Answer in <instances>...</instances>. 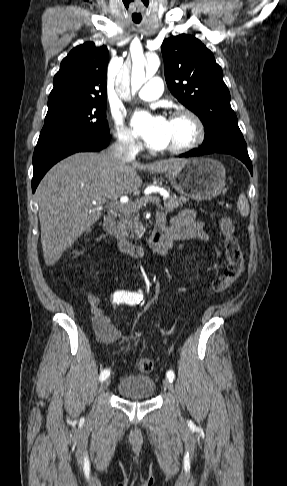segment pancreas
Here are the masks:
<instances>
[{"instance_id":"cf45deb5","label":"pancreas","mask_w":287,"mask_h":486,"mask_svg":"<svg viewBox=\"0 0 287 486\" xmlns=\"http://www.w3.org/2000/svg\"><path fill=\"white\" fill-rule=\"evenodd\" d=\"M144 199L141 198L135 202H130L120 210L118 228L124 235H130V238H134L135 236L140 238L145 232L144 227L139 221V210L141 208L139 202ZM186 201V197H177L175 194H170L168 198L164 199V207L166 210L172 211L182 206Z\"/></svg>"}]
</instances>
